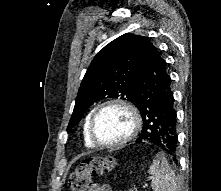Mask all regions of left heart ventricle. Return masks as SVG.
Returning <instances> with one entry per match:
<instances>
[{"label":"left heart ventricle","mask_w":221,"mask_h":191,"mask_svg":"<svg viewBox=\"0 0 221 191\" xmlns=\"http://www.w3.org/2000/svg\"><path fill=\"white\" fill-rule=\"evenodd\" d=\"M131 127V118L122 108L110 107L102 110L95 122L96 137L104 143L123 139Z\"/></svg>","instance_id":"b2bd125f"}]
</instances>
